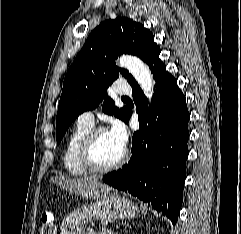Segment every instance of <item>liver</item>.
<instances>
[{
    "instance_id": "6515ba94",
    "label": "liver",
    "mask_w": 241,
    "mask_h": 234,
    "mask_svg": "<svg viewBox=\"0 0 241 234\" xmlns=\"http://www.w3.org/2000/svg\"><path fill=\"white\" fill-rule=\"evenodd\" d=\"M50 182L60 186L63 190L89 199L99 198L111 190V187L95 178L55 176L50 179Z\"/></svg>"
}]
</instances>
